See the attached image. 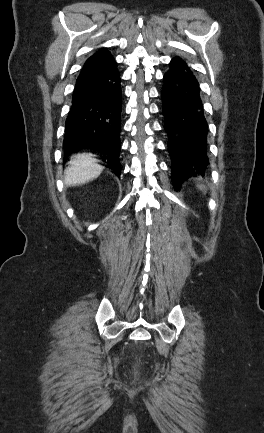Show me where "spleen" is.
Here are the masks:
<instances>
[{"instance_id":"1","label":"spleen","mask_w":264,"mask_h":433,"mask_svg":"<svg viewBox=\"0 0 264 433\" xmlns=\"http://www.w3.org/2000/svg\"><path fill=\"white\" fill-rule=\"evenodd\" d=\"M203 188H204L203 186H199V189L203 190Z\"/></svg>"}]
</instances>
